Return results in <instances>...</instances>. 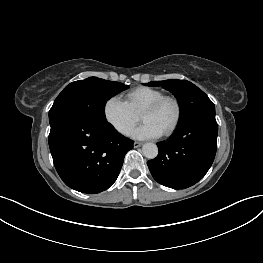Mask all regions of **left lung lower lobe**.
I'll use <instances>...</instances> for the list:
<instances>
[{
	"instance_id": "1",
	"label": "left lung lower lobe",
	"mask_w": 263,
	"mask_h": 263,
	"mask_svg": "<svg viewBox=\"0 0 263 263\" xmlns=\"http://www.w3.org/2000/svg\"><path fill=\"white\" fill-rule=\"evenodd\" d=\"M217 133L215 115L200 116L179 125L167 142L158 143V156L147 162L153 178L173 189L197 183L214 161Z\"/></svg>"
}]
</instances>
